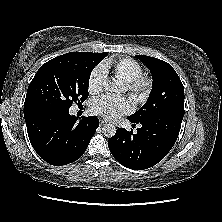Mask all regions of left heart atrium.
<instances>
[{
	"instance_id": "obj_1",
	"label": "left heart atrium",
	"mask_w": 222,
	"mask_h": 222,
	"mask_svg": "<svg viewBox=\"0 0 222 222\" xmlns=\"http://www.w3.org/2000/svg\"><path fill=\"white\" fill-rule=\"evenodd\" d=\"M130 102L121 96L103 95L96 98L91 105L92 111L107 119L114 120L130 111Z\"/></svg>"
}]
</instances>
